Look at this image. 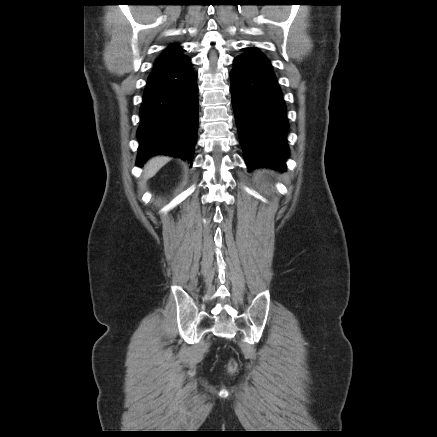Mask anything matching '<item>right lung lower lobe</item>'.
I'll use <instances>...</instances> for the list:
<instances>
[{"instance_id":"98d812e1","label":"right lung lower lobe","mask_w":437,"mask_h":437,"mask_svg":"<svg viewBox=\"0 0 437 437\" xmlns=\"http://www.w3.org/2000/svg\"><path fill=\"white\" fill-rule=\"evenodd\" d=\"M197 74L187 56L150 73L140 108L137 165L156 154L192 164L198 129Z\"/></svg>"}]
</instances>
